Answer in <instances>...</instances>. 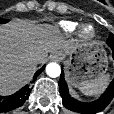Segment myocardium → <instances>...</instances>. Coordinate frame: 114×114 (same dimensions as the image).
I'll list each match as a JSON object with an SVG mask.
<instances>
[{
  "label": "myocardium",
  "mask_w": 114,
  "mask_h": 114,
  "mask_svg": "<svg viewBox=\"0 0 114 114\" xmlns=\"http://www.w3.org/2000/svg\"><path fill=\"white\" fill-rule=\"evenodd\" d=\"M95 34L94 28L90 25L82 27L80 30V35L83 38H92Z\"/></svg>",
  "instance_id": "1"
}]
</instances>
